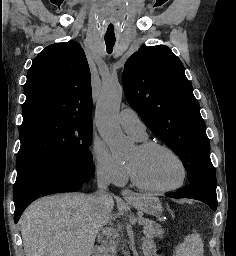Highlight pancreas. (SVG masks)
<instances>
[{"mask_svg":"<svg viewBox=\"0 0 236 256\" xmlns=\"http://www.w3.org/2000/svg\"><path fill=\"white\" fill-rule=\"evenodd\" d=\"M143 234H145L146 238H142V243H149V238H161V236H165V231L161 230L160 224H155L152 220H145L143 222ZM115 230H118V227H115ZM113 226H106L105 234L106 237H101V242H105V254H110V252H114L116 242H114V238H112Z\"/></svg>","mask_w":236,"mask_h":256,"instance_id":"1","label":"pancreas"}]
</instances>
